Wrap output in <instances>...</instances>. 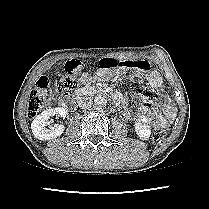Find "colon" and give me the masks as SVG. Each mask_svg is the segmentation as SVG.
I'll return each instance as SVG.
<instances>
[{
    "mask_svg": "<svg viewBox=\"0 0 209 209\" xmlns=\"http://www.w3.org/2000/svg\"><path fill=\"white\" fill-rule=\"evenodd\" d=\"M141 65L142 64L139 62L125 61L118 63L108 59H103L100 62V66L105 67L123 66L126 68H133ZM82 68L80 62L73 60L65 65L64 73L59 74L53 83L45 76L40 77L30 94L27 107L28 117H35L44 107L54 100L52 88L57 92L65 93L74 90L78 86L79 74L81 73ZM166 133L167 127H160L157 129L156 138H162Z\"/></svg>",
    "mask_w": 209,
    "mask_h": 209,
    "instance_id": "colon-1",
    "label": "colon"
}]
</instances>
